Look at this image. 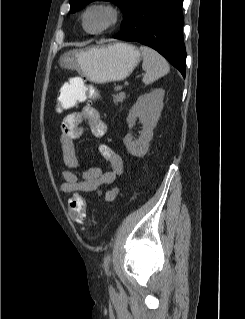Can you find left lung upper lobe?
<instances>
[{
  "label": "left lung upper lobe",
  "mask_w": 245,
  "mask_h": 319,
  "mask_svg": "<svg viewBox=\"0 0 245 319\" xmlns=\"http://www.w3.org/2000/svg\"><path fill=\"white\" fill-rule=\"evenodd\" d=\"M94 0H69L70 3V11L73 13L78 10L80 7L92 2ZM114 2L117 6L121 7L124 14V21L121 25V29L125 26L127 21L129 20L133 9L139 0H107Z\"/></svg>",
  "instance_id": "obj_1"
}]
</instances>
